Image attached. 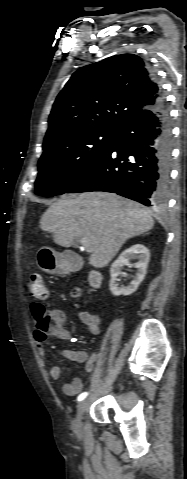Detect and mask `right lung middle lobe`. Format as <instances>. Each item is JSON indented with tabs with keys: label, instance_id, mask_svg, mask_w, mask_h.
I'll list each match as a JSON object with an SVG mask.
<instances>
[{
	"label": "right lung middle lobe",
	"instance_id": "1",
	"mask_svg": "<svg viewBox=\"0 0 187 479\" xmlns=\"http://www.w3.org/2000/svg\"><path fill=\"white\" fill-rule=\"evenodd\" d=\"M119 129L91 128L43 145L36 194L61 195L93 166L113 144Z\"/></svg>",
	"mask_w": 187,
	"mask_h": 479
}]
</instances>
